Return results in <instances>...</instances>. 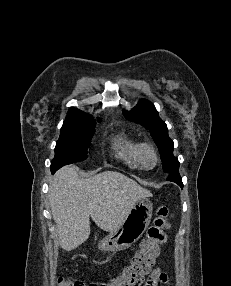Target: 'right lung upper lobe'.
<instances>
[{
	"instance_id": "cb5924a9",
	"label": "right lung upper lobe",
	"mask_w": 231,
	"mask_h": 286,
	"mask_svg": "<svg viewBox=\"0 0 231 286\" xmlns=\"http://www.w3.org/2000/svg\"><path fill=\"white\" fill-rule=\"evenodd\" d=\"M67 116H89L83 112H81L80 110L76 109V108H71L69 111H68V114Z\"/></svg>"
}]
</instances>
